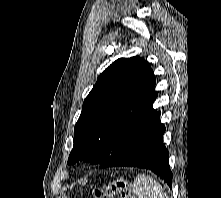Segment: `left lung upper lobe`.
<instances>
[{
	"label": "left lung upper lobe",
	"instance_id": "left-lung-upper-lobe-1",
	"mask_svg": "<svg viewBox=\"0 0 221 198\" xmlns=\"http://www.w3.org/2000/svg\"><path fill=\"white\" fill-rule=\"evenodd\" d=\"M156 80L139 57L114 61L97 79L75 125L68 164H102L154 113Z\"/></svg>",
	"mask_w": 221,
	"mask_h": 198
}]
</instances>
